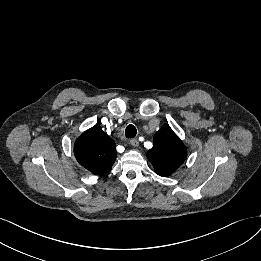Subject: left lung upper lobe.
Returning a JSON list of instances; mask_svg holds the SVG:
<instances>
[{
    "label": "left lung upper lobe",
    "mask_w": 261,
    "mask_h": 261,
    "mask_svg": "<svg viewBox=\"0 0 261 261\" xmlns=\"http://www.w3.org/2000/svg\"><path fill=\"white\" fill-rule=\"evenodd\" d=\"M187 150L181 139L168 126L164 125L153 138V148L147 152L156 173L167 177L185 161Z\"/></svg>",
    "instance_id": "1"
}]
</instances>
